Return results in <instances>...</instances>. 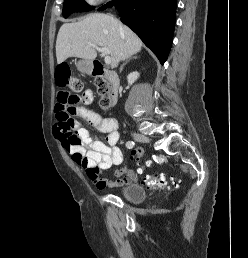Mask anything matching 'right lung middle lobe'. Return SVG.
I'll use <instances>...</instances> for the list:
<instances>
[{
    "label": "right lung middle lobe",
    "instance_id": "dd1d6c3e",
    "mask_svg": "<svg viewBox=\"0 0 248 258\" xmlns=\"http://www.w3.org/2000/svg\"><path fill=\"white\" fill-rule=\"evenodd\" d=\"M89 10H91V7L84 0H64V18H67L73 12H84Z\"/></svg>",
    "mask_w": 248,
    "mask_h": 258
}]
</instances>
